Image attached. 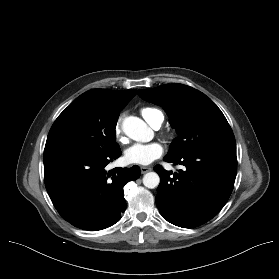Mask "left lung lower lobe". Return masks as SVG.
I'll return each mask as SVG.
<instances>
[{"label": "left lung lower lobe", "instance_id": "0a47b994", "mask_svg": "<svg viewBox=\"0 0 279 279\" xmlns=\"http://www.w3.org/2000/svg\"><path fill=\"white\" fill-rule=\"evenodd\" d=\"M164 160L185 166L172 174L154 167L160 176L156 204L168 222L183 228L212 219L228 201L237 172L236 145H213Z\"/></svg>", "mask_w": 279, "mask_h": 279}]
</instances>
